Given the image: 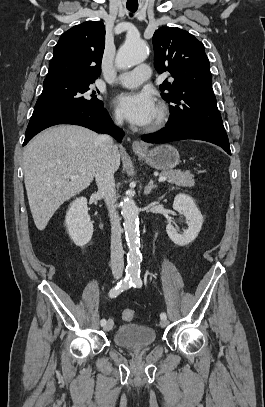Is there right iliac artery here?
I'll return each instance as SVG.
<instances>
[{
	"mask_svg": "<svg viewBox=\"0 0 265 407\" xmlns=\"http://www.w3.org/2000/svg\"><path fill=\"white\" fill-rule=\"evenodd\" d=\"M132 286V280L125 277L123 280H121L115 287H113L110 292L109 296L111 298L117 297L121 292L129 289ZM101 326H104L106 324V320L102 319L100 321Z\"/></svg>",
	"mask_w": 265,
	"mask_h": 407,
	"instance_id": "right-iliac-artery-1",
	"label": "right iliac artery"
}]
</instances>
